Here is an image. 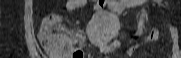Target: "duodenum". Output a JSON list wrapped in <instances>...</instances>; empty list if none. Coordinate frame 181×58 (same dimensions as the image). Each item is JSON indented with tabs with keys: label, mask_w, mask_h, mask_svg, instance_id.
Returning <instances> with one entry per match:
<instances>
[{
	"label": "duodenum",
	"mask_w": 181,
	"mask_h": 58,
	"mask_svg": "<svg viewBox=\"0 0 181 58\" xmlns=\"http://www.w3.org/2000/svg\"><path fill=\"white\" fill-rule=\"evenodd\" d=\"M143 1H145V0H123L120 2L105 1V3L108 5H120L122 7H133V6H136L138 4H141Z\"/></svg>",
	"instance_id": "duodenum-1"
}]
</instances>
